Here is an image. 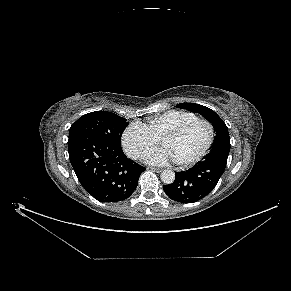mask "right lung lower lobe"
<instances>
[{
	"mask_svg": "<svg viewBox=\"0 0 291 291\" xmlns=\"http://www.w3.org/2000/svg\"><path fill=\"white\" fill-rule=\"evenodd\" d=\"M68 152L81 185L100 202L127 199L145 170L127 158L121 147L86 132L69 136Z\"/></svg>",
	"mask_w": 291,
	"mask_h": 291,
	"instance_id": "1",
	"label": "right lung lower lobe"
}]
</instances>
